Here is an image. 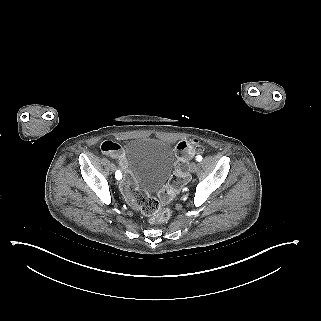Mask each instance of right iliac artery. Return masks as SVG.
Masks as SVG:
<instances>
[{
    "label": "right iliac artery",
    "mask_w": 321,
    "mask_h": 321,
    "mask_svg": "<svg viewBox=\"0 0 321 321\" xmlns=\"http://www.w3.org/2000/svg\"><path fill=\"white\" fill-rule=\"evenodd\" d=\"M115 177L118 180L122 178V174H121V172L119 170L115 173Z\"/></svg>",
    "instance_id": "1"
}]
</instances>
